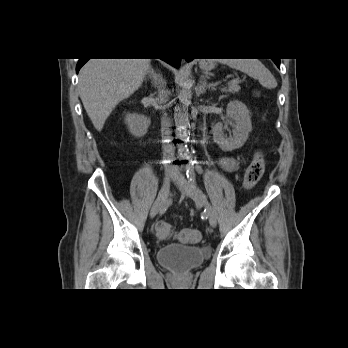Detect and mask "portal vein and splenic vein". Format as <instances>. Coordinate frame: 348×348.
I'll return each mask as SVG.
<instances>
[{"mask_svg":"<svg viewBox=\"0 0 348 348\" xmlns=\"http://www.w3.org/2000/svg\"><path fill=\"white\" fill-rule=\"evenodd\" d=\"M236 82H239V80L238 79H233L229 83H236Z\"/></svg>","mask_w":348,"mask_h":348,"instance_id":"18ae733b","label":"portal vein and splenic vein"}]
</instances>
